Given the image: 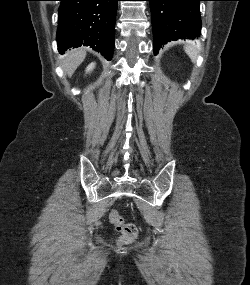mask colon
Listing matches in <instances>:
<instances>
[{"label":"colon","instance_id":"5ec220e1","mask_svg":"<svg viewBox=\"0 0 250 285\" xmlns=\"http://www.w3.org/2000/svg\"><path fill=\"white\" fill-rule=\"evenodd\" d=\"M109 218L116 230L120 233L119 242L121 244L131 243L137 238L138 227L133 223H126L116 210L110 212Z\"/></svg>","mask_w":250,"mask_h":285}]
</instances>
